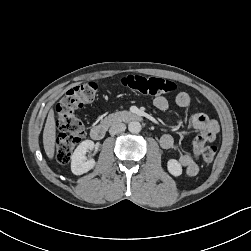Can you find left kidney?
Listing matches in <instances>:
<instances>
[{"instance_id":"1","label":"left kidney","mask_w":251,"mask_h":251,"mask_svg":"<svg viewBox=\"0 0 251 251\" xmlns=\"http://www.w3.org/2000/svg\"><path fill=\"white\" fill-rule=\"evenodd\" d=\"M167 168L170 174L177 177L182 174V166L176 159H170L167 162Z\"/></svg>"}]
</instances>
